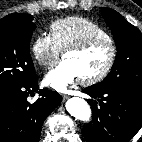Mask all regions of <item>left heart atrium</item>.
Here are the masks:
<instances>
[{
  "label": "left heart atrium",
  "instance_id": "39dd6f15",
  "mask_svg": "<svg viewBox=\"0 0 142 142\" xmlns=\"http://www.w3.org/2000/svg\"><path fill=\"white\" fill-rule=\"evenodd\" d=\"M80 78L76 67L69 60L64 59L47 73L45 82L53 89L63 92Z\"/></svg>",
  "mask_w": 142,
  "mask_h": 142
}]
</instances>
